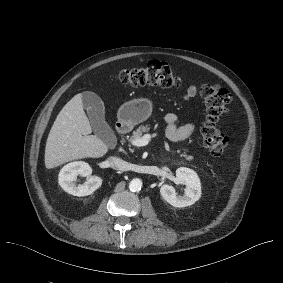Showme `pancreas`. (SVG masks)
<instances>
[{"mask_svg": "<svg viewBox=\"0 0 283 283\" xmlns=\"http://www.w3.org/2000/svg\"><path fill=\"white\" fill-rule=\"evenodd\" d=\"M150 130V125H141L137 128L135 132H133L132 138H139L141 137L144 133H148ZM173 154H179L180 157L187 158V152H184L182 149H177L173 151Z\"/></svg>", "mask_w": 283, "mask_h": 283, "instance_id": "pancreas-1", "label": "pancreas"}]
</instances>
